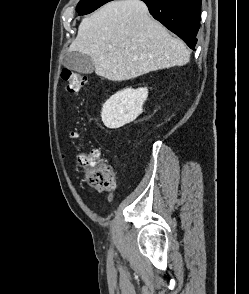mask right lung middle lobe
Returning a JSON list of instances; mask_svg holds the SVG:
<instances>
[{"label": "right lung middle lobe", "mask_w": 249, "mask_h": 294, "mask_svg": "<svg viewBox=\"0 0 249 294\" xmlns=\"http://www.w3.org/2000/svg\"><path fill=\"white\" fill-rule=\"evenodd\" d=\"M109 1L112 0H81L77 5L76 11L79 15L89 14Z\"/></svg>", "instance_id": "right-lung-middle-lobe-1"}]
</instances>
